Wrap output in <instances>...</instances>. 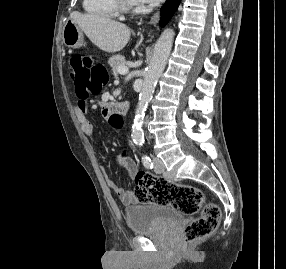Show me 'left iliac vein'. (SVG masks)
<instances>
[{
    "mask_svg": "<svg viewBox=\"0 0 286 269\" xmlns=\"http://www.w3.org/2000/svg\"><path fill=\"white\" fill-rule=\"evenodd\" d=\"M154 169L157 173H164L165 174V166L161 159L154 158Z\"/></svg>",
    "mask_w": 286,
    "mask_h": 269,
    "instance_id": "4c4485c4",
    "label": "left iliac vein"
}]
</instances>
